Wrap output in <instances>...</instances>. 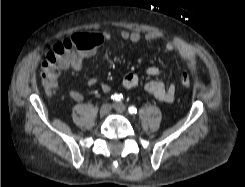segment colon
<instances>
[{
  "label": "colon",
  "instance_id": "1",
  "mask_svg": "<svg viewBox=\"0 0 245 187\" xmlns=\"http://www.w3.org/2000/svg\"><path fill=\"white\" fill-rule=\"evenodd\" d=\"M82 47V40L78 36L65 39L53 47V51L47 55L41 68L42 83L47 93H52L57 87L60 63L65 61L70 53L82 49ZM192 83L188 73L181 75V85L183 88H190Z\"/></svg>",
  "mask_w": 245,
  "mask_h": 187
}]
</instances>
